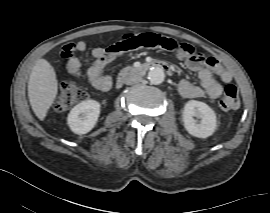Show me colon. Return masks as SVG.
<instances>
[{"instance_id": "1", "label": "colon", "mask_w": 270, "mask_h": 213, "mask_svg": "<svg viewBox=\"0 0 270 213\" xmlns=\"http://www.w3.org/2000/svg\"><path fill=\"white\" fill-rule=\"evenodd\" d=\"M139 48H149L156 52L178 49L180 53L187 52L196 63L206 64L208 58L200 52H192L191 45L183 42L177 43L174 39L157 34H132L121 37L116 43L107 47V52H120ZM87 99V92L72 80L65 81L58 88V97L55 107L65 110ZM239 106L238 89L234 84H227L220 98V107L223 110H233Z\"/></svg>"}]
</instances>
